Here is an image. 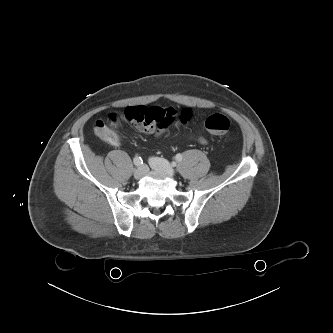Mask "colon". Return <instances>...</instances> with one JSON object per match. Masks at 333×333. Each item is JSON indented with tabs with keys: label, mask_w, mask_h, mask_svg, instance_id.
<instances>
[{
	"label": "colon",
	"mask_w": 333,
	"mask_h": 333,
	"mask_svg": "<svg viewBox=\"0 0 333 333\" xmlns=\"http://www.w3.org/2000/svg\"><path fill=\"white\" fill-rule=\"evenodd\" d=\"M120 117L116 114H111L106 120H98L94 124L95 134L106 142L114 135V128L118 126ZM205 127L211 134L223 135L230 129V120L223 114H213L205 121Z\"/></svg>",
	"instance_id": "1"
}]
</instances>
